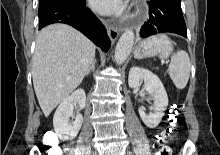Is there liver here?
Masks as SVG:
<instances>
[{
    "mask_svg": "<svg viewBox=\"0 0 220 155\" xmlns=\"http://www.w3.org/2000/svg\"><path fill=\"white\" fill-rule=\"evenodd\" d=\"M95 57V45L65 24H52L39 33L32 78L39 105L48 117L83 81Z\"/></svg>",
    "mask_w": 220,
    "mask_h": 155,
    "instance_id": "1",
    "label": "liver"
}]
</instances>
